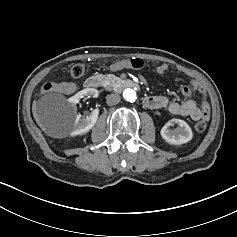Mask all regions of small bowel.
<instances>
[{
    "instance_id": "c3829d8e",
    "label": "small bowel",
    "mask_w": 237,
    "mask_h": 237,
    "mask_svg": "<svg viewBox=\"0 0 237 237\" xmlns=\"http://www.w3.org/2000/svg\"><path fill=\"white\" fill-rule=\"evenodd\" d=\"M126 67H129L128 60H123L111 65L112 70H119ZM167 71V64H161L157 67V73L160 75L165 74ZM75 90L76 85L71 82L52 83L51 91L72 94ZM196 90L200 93V105L190 98L192 92ZM181 93L185 98L182 102L170 101L166 96H147L143 99V104L148 109L167 108L169 112L174 115L189 116L194 121L209 118L210 105L206 90L195 78H192L190 83L182 88Z\"/></svg>"
}]
</instances>
